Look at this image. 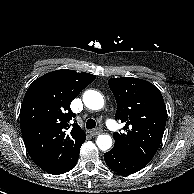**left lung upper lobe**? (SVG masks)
<instances>
[{
	"mask_svg": "<svg viewBox=\"0 0 194 194\" xmlns=\"http://www.w3.org/2000/svg\"><path fill=\"white\" fill-rule=\"evenodd\" d=\"M117 111L125 133H113L114 148L150 162L161 143L166 125V106L159 89L148 81L122 77L110 79Z\"/></svg>",
	"mask_w": 194,
	"mask_h": 194,
	"instance_id": "obj_1",
	"label": "left lung upper lobe"
}]
</instances>
